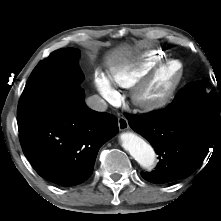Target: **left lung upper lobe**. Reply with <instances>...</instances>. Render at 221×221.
<instances>
[{"label": "left lung upper lobe", "instance_id": "left-lung-upper-lobe-1", "mask_svg": "<svg viewBox=\"0 0 221 221\" xmlns=\"http://www.w3.org/2000/svg\"><path fill=\"white\" fill-rule=\"evenodd\" d=\"M206 83L197 81L184 87L167 107L172 113H216L219 114L221 93L213 89L206 91Z\"/></svg>", "mask_w": 221, "mask_h": 221}]
</instances>
